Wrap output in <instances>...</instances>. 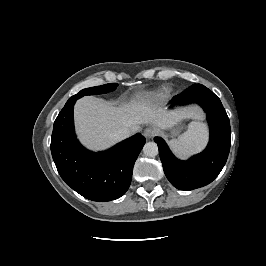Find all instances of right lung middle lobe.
I'll use <instances>...</instances> for the list:
<instances>
[{"instance_id":"right-lung-middle-lobe-1","label":"right lung middle lobe","mask_w":266,"mask_h":266,"mask_svg":"<svg viewBox=\"0 0 266 266\" xmlns=\"http://www.w3.org/2000/svg\"><path fill=\"white\" fill-rule=\"evenodd\" d=\"M116 86H117L116 83H110V84H105V85H101V86L83 89L79 93H77L76 95L70 97L68 99L67 103L72 101V100H77V99H79L85 95H95V94L108 93L110 91L115 90Z\"/></svg>"}]
</instances>
